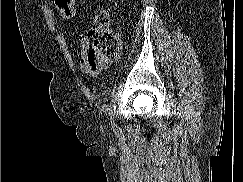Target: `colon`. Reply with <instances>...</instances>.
I'll return each mask as SVG.
<instances>
[{
	"instance_id": "colon-1",
	"label": "colon",
	"mask_w": 243,
	"mask_h": 182,
	"mask_svg": "<svg viewBox=\"0 0 243 182\" xmlns=\"http://www.w3.org/2000/svg\"><path fill=\"white\" fill-rule=\"evenodd\" d=\"M75 0H55V7L63 19H71L74 16ZM96 20L97 26L89 32L92 44L89 52L91 56L112 60L120 52V43L108 23V16L105 11L100 12Z\"/></svg>"
}]
</instances>
